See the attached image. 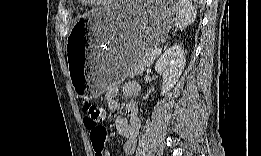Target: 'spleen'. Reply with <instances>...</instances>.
Wrapping results in <instances>:
<instances>
[{
  "label": "spleen",
  "instance_id": "3e777b00",
  "mask_svg": "<svg viewBox=\"0 0 261 156\" xmlns=\"http://www.w3.org/2000/svg\"><path fill=\"white\" fill-rule=\"evenodd\" d=\"M177 8L178 10L174 19L176 28L184 29L195 21L197 12L191 1L179 0Z\"/></svg>",
  "mask_w": 261,
  "mask_h": 156
}]
</instances>
